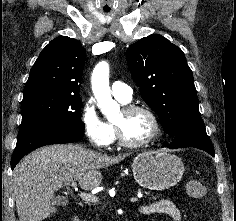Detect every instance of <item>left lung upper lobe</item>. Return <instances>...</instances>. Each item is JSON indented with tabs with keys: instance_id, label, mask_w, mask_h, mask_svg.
<instances>
[{
	"instance_id": "1",
	"label": "left lung upper lobe",
	"mask_w": 236,
	"mask_h": 221,
	"mask_svg": "<svg viewBox=\"0 0 236 221\" xmlns=\"http://www.w3.org/2000/svg\"><path fill=\"white\" fill-rule=\"evenodd\" d=\"M126 58L144 101L159 115L164 132L175 136L189 129H205L193 73L179 47L161 35H149L128 48Z\"/></svg>"
}]
</instances>
